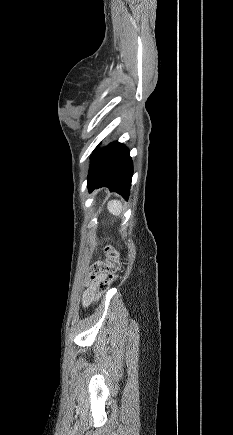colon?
<instances>
[{
	"mask_svg": "<svg viewBox=\"0 0 233 435\" xmlns=\"http://www.w3.org/2000/svg\"><path fill=\"white\" fill-rule=\"evenodd\" d=\"M119 268V254L118 252L110 245L106 246L104 249V259L96 261L90 267V275L88 283L97 284L96 298L95 300H99V298L109 291L110 284L115 278V274ZM110 273L111 279L104 280L102 279V274Z\"/></svg>",
	"mask_w": 233,
	"mask_h": 435,
	"instance_id": "obj_1",
	"label": "colon"
}]
</instances>
